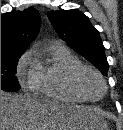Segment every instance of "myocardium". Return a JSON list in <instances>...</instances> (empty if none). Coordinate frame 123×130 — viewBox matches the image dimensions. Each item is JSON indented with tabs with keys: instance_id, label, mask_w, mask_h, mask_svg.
I'll list each match as a JSON object with an SVG mask.
<instances>
[{
	"instance_id": "1",
	"label": "myocardium",
	"mask_w": 123,
	"mask_h": 130,
	"mask_svg": "<svg viewBox=\"0 0 123 130\" xmlns=\"http://www.w3.org/2000/svg\"><path fill=\"white\" fill-rule=\"evenodd\" d=\"M88 76H94L101 85V91L98 96L93 97L86 89L85 81ZM70 83L73 90L85 101H97L106 92V82L101 73L93 67L82 65L73 69L70 75Z\"/></svg>"
}]
</instances>
